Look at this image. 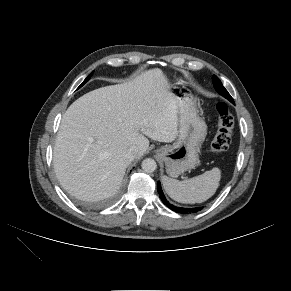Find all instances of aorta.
Here are the masks:
<instances>
[{
  "mask_svg": "<svg viewBox=\"0 0 291 291\" xmlns=\"http://www.w3.org/2000/svg\"><path fill=\"white\" fill-rule=\"evenodd\" d=\"M142 169L145 171V172H154L157 168V164L155 162L154 159L152 158H146L142 161Z\"/></svg>",
  "mask_w": 291,
  "mask_h": 291,
  "instance_id": "1",
  "label": "aorta"
}]
</instances>
